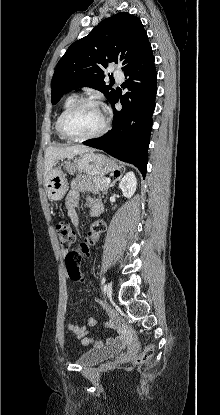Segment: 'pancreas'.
Returning a JSON list of instances; mask_svg holds the SVG:
<instances>
[{
    "label": "pancreas",
    "instance_id": "1",
    "mask_svg": "<svg viewBox=\"0 0 220 415\" xmlns=\"http://www.w3.org/2000/svg\"><path fill=\"white\" fill-rule=\"evenodd\" d=\"M106 177L104 176H88V180L91 184V188L95 191H107L109 183H105Z\"/></svg>",
    "mask_w": 220,
    "mask_h": 415
}]
</instances>
